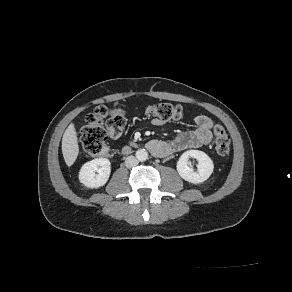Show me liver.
Masks as SVG:
<instances>
[{
    "label": "liver",
    "mask_w": 292,
    "mask_h": 292,
    "mask_svg": "<svg viewBox=\"0 0 292 292\" xmlns=\"http://www.w3.org/2000/svg\"><path fill=\"white\" fill-rule=\"evenodd\" d=\"M62 153L68 167L72 166L79 154V145L75 126L71 123L65 130L62 138Z\"/></svg>",
    "instance_id": "6515ba94"
}]
</instances>
